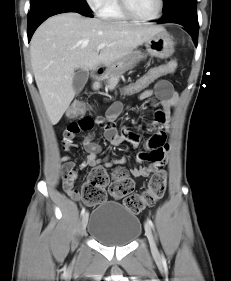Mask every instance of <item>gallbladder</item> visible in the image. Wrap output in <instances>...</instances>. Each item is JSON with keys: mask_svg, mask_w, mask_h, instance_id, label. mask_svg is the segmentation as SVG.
I'll return each instance as SVG.
<instances>
[{"mask_svg": "<svg viewBox=\"0 0 231 281\" xmlns=\"http://www.w3.org/2000/svg\"><path fill=\"white\" fill-rule=\"evenodd\" d=\"M89 74L85 70H79L75 72L74 78H73V88L75 92L78 94L82 91L84 88L87 80H88Z\"/></svg>", "mask_w": 231, "mask_h": 281, "instance_id": "gallbladder-1", "label": "gallbladder"}]
</instances>
